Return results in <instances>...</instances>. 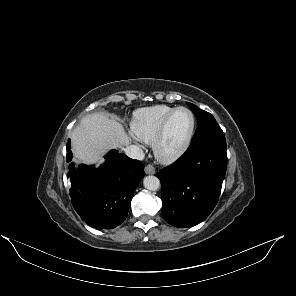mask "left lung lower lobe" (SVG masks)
Masks as SVG:
<instances>
[{"label": "left lung lower lobe", "instance_id": "0a47b994", "mask_svg": "<svg viewBox=\"0 0 296 296\" xmlns=\"http://www.w3.org/2000/svg\"><path fill=\"white\" fill-rule=\"evenodd\" d=\"M227 166L225 139L188 148L174 164L160 170L162 214L180 228L192 227L218 202Z\"/></svg>", "mask_w": 296, "mask_h": 296}]
</instances>
